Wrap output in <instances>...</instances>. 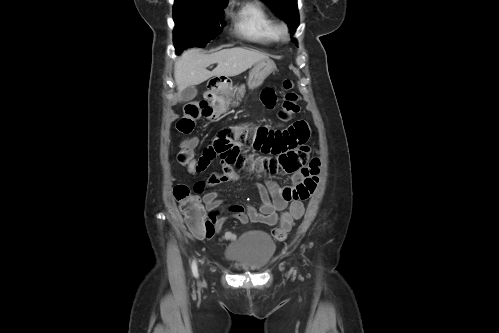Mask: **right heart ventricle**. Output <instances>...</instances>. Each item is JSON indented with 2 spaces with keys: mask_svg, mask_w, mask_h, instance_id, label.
<instances>
[{
  "mask_svg": "<svg viewBox=\"0 0 499 333\" xmlns=\"http://www.w3.org/2000/svg\"><path fill=\"white\" fill-rule=\"evenodd\" d=\"M236 32L247 41L268 45L278 40L276 20L257 1L244 3L235 13Z\"/></svg>",
  "mask_w": 499,
  "mask_h": 333,
  "instance_id": "obj_1",
  "label": "right heart ventricle"
}]
</instances>
